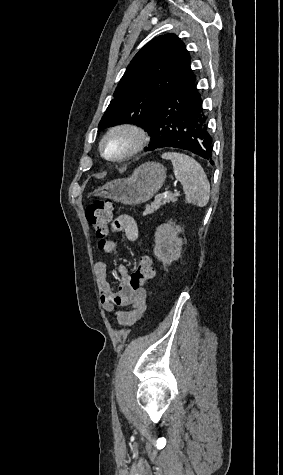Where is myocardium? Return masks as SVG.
I'll use <instances>...</instances> for the list:
<instances>
[{"instance_id": "myocardium-1", "label": "myocardium", "mask_w": 283, "mask_h": 475, "mask_svg": "<svg viewBox=\"0 0 283 475\" xmlns=\"http://www.w3.org/2000/svg\"><path fill=\"white\" fill-rule=\"evenodd\" d=\"M117 135H127L130 138L129 146L126 151L116 156H109L104 150L105 143L110 138ZM149 140L147 129L137 123L123 122L109 128L102 136L99 142V151L101 156L111 162H120L131 159L138 155L146 146Z\"/></svg>"}]
</instances>
